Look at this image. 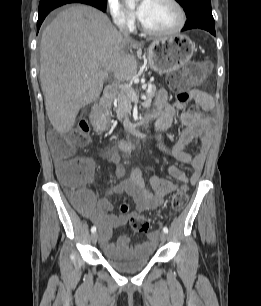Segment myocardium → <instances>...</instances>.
Returning <instances> with one entry per match:
<instances>
[{
	"label": "myocardium",
	"mask_w": 261,
	"mask_h": 306,
	"mask_svg": "<svg viewBox=\"0 0 261 306\" xmlns=\"http://www.w3.org/2000/svg\"><path fill=\"white\" fill-rule=\"evenodd\" d=\"M166 1L170 3L177 11L178 20L176 24L172 28L167 30H157L146 26L138 17L137 19L138 26L144 33L152 36H170L180 32L184 28L187 21L185 9L178 0H166Z\"/></svg>",
	"instance_id": "myocardium-1"
}]
</instances>
